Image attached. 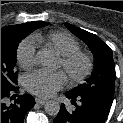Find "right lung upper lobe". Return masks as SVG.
Returning <instances> with one entry per match:
<instances>
[{
	"mask_svg": "<svg viewBox=\"0 0 123 123\" xmlns=\"http://www.w3.org/2000/svg\"><path fill=\"white\" fill-rule=\"evenodd\" d=\"M11 26H12V25H11ZM11 26H6V27L1 28V32L8 30Z\"/></svg>",
	"mask_w": 123,
	"mask_h": 123,
	"instance_id": "right-lung-upper-lobe-1",
	"label": "right lung upper lobe"
}]
</instances>
